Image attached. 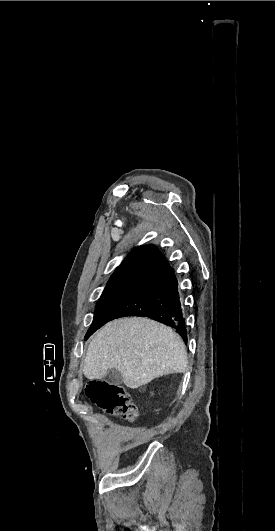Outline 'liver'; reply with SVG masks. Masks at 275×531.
Returning a JSON list of instances; mask_svg holds the SVG:
<instances>
[{
  "instance_id": "liver-1",
  "label": "liver",
  "mask_w": 275,
  "mask_h": 531,
  "mask_svg": "<svg viewBox=\"0 0 275 531\" xmlns=\"http://www.w3.org/2000/svg\"><path fill=\"white\" fill-rule=\"evenodd\" d=\"M186 367L185 345L173 329L150 319L130 317L107 323L95 333L83 373L93 381L117 369L126 387L138 389L162 375L184 373Z\"/></svg>"
}]
</instances>
